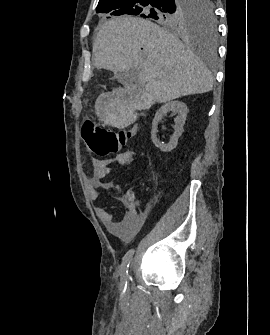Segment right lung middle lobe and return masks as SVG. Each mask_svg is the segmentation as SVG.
I'll return each instance as SVG.
<instances>
[{"instance_id":"right-lung-middle-lobe-1","label":"right lung middle lobe","mask_w":270,"mask_h":335,"mask_svg":"<svg viewBox=\"0 0 270 335\" xmlns=\"http://www.w3.org/2000/svg\"><path fill=\"white\" fill-rule=\"evenodd\" d=\"M213 0H99L102 18L139 15L167 28L199 34L210 43L216 35ZM152 20V21H153Z\"/></svg>"}]
</instances>
